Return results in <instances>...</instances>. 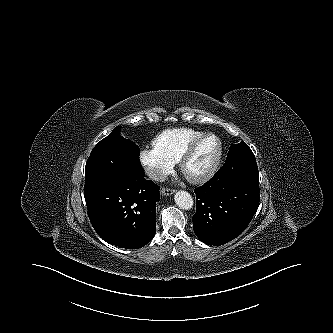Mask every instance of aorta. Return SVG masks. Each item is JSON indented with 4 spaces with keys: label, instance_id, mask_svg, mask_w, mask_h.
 Listing matches in <instances>:
<instances>
[{
    "label": "aorta",
    "instance_id": "aorta-1",
    "mask_svg": "<svg viewBox=\"0 0 333 333\" xmlns=\"http://www.w3.org/2000/svg\"><path fill=\"white\" fill-rule=\"evenodd\" d=\"M175 203L183 210H189L193 206V198L187 191H178L174 196Z\"/></svg>",
    "mask_w": 333,
    "mask_h": 333
}]
</instances>
